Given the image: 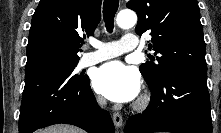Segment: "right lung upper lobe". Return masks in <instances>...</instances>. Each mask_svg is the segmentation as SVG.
<instances>
[{"mask_svg":"<svg viewBox=\"0 0 221 133\" xmlns=\"http://www.w3.org/2000/svg\"><path fill=\"white\" fill-rule=\"evenodd\" d=\"M102 0H41L27 45L26 72L79 61L81 36L93 35Z\"/></svg>","mask_w":221,"mask_h":133,"instance_id":"cb5924a9","label":"right lung upper lobe"}]
</instances>
